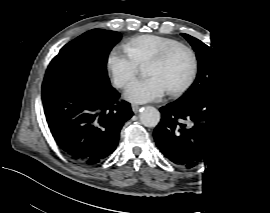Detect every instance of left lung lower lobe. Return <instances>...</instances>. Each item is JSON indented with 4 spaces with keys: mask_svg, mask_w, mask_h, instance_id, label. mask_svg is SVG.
Masks as SVG:
<instances>
[{
    "mask_svg": "<svg viewBox=\"0 0 270 213\" xmlns=\"http://www.w3.org/2000/svg\"><path fill=\"white\" fill-rule=\"evenodd\" d=\"M231 87L198 100L178 99L160 108L162 118L154 129L160 151L177 165L193 167L208 160L232 126ZM191 121V125H186Z\"/></svg>",
    "mask_w": 270,
    "mask_h": 213,
    "instance_id": "left-lung-lower-lobe-1",
    "label": "left lung lower lobe"
}]
</instances>
